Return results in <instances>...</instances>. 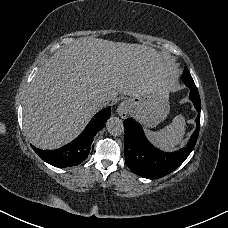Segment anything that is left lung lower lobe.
Wrapping results in <instances>:
<instances>
[{
    "label": "left lung lower lobe",
    "mask_w": 228,
    "mask_h": 228,
    "mask_svg": "<svg viewBox=\"0 0 228 228\" xmlns=\"http://www.w3.org/2000/svg\"><path fill=\"white\" fill-rule=\"evenodd\" d=\"M183 81L190 89L189 99L198 112L196 121L199 125L200 96L197 87L191 75L185 76ZM124 129V150L127 166L133 173L148 179L161 178L179 167L193 150L199 134V127H197L186 148L166 153L155 148L146 139L141 125L133 119L128 118L124 121Z\"/></svg>",
    "instance_id": "1"
}]
</instances>
